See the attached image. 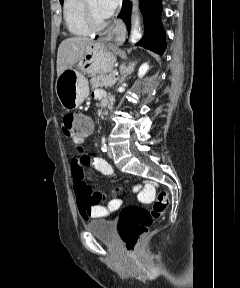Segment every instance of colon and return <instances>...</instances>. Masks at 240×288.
Instances as JSON below:
<instances>
[{"mask_svg": "<svg viewBox=\"0 0 240 288\" xmlns=\"http://www.w3.org/2000/svg\"><path fill=\"white\" fill-rule=\"evenodd\" d=\"M91 127V119L82 114L68 113L62 120L64 134L74 140L88 135ZM168 204V194L161 191L157 194L151 210L138 205L123 208L118 221V231L128 252L133 253L137 250L153 220L164 213Z\"/></svg>", "mask_w": 240, "mask_h": 288, "instance_id": "obj_1", "label": "colon"}]
</instances>
